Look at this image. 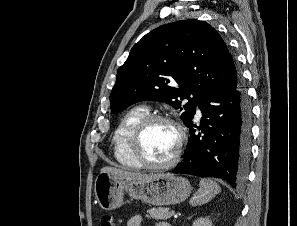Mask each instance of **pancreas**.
<instances>
[{
  "label": "pancreas",
  "mask_w": 297,
  "mask_h": 226,
  "mask_svg": "<svg viewBox=\"0 0 297 226\" xmlns=\"http://www.w3.org/2000/svg\"><path fill=\"white\" fill-rule=\"evenodd\" d=\"M146 217H148V218L151 217L156 220H167L172 217V213L169 210V208H165V207L155 208V207H153V208L147 210Z\"/></svg>",
  "instance_id": "1"
}]
</instances>
